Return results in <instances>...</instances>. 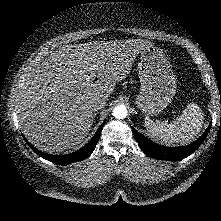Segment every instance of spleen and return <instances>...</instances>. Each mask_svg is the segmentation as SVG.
<instances>
[{
	"instance_id": "spleen-1",
	"label": "spleen",
	"mask_w": 221,
	"mask_h": 221,
	"mask_svg": "<svg viewBox=\"0 0 221 221\" xmlns=\"http://www.w3.org/2000/svg\"><path fill=\"white\" fill-rule=\"evenodd\" d=\"M204 114L201 108L190 103L183 113L171 123H155L145 118L147 131L156 139L168 144H187L195 139L203 126Z\"/></svg>"
}]
</instances>
